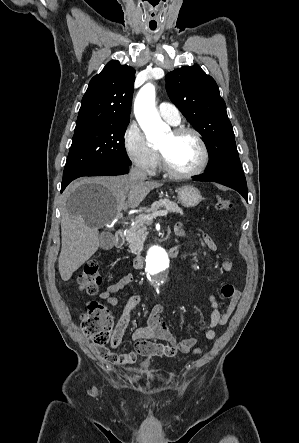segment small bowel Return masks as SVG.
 I'll use <instances>...</instances> for the list:
<instances>
[{
  "label": "small bowel",
  "mask_w": 299,
  "mask_h": 443,
  "mask_svg": "<svg viewBox=\"0 0 299 443\" xmlns=\"http://www.w3.org/2000/svg\"><path fill=\"white\" fill-rule=\"evenodd\" d=\"M175 232L177 235L183 236L185 234V224L183 222L177 223L175 226ZM203 241L209 250L214 251L217 249L215 240L209 234H203ZM221 267L225 271L232 270V260L230 258H224L221 262ZM133 279L134 277L132 274L122 276L116 282L108 285L99 294V298L111 306H117L119 300L115 294L129 285ZM221 295L227 300V305L223 312L219 311L216 298L214 296L210 297V303L213 309L210 312L207 324L204 327L205 336L208 339H213L215 337V327L223 326L228 322L240 299V292L232 284H224L221 288ZM140 301L141 297L138 294L129 297L121 316L117 321L111 341V349L117 348L121 343L125 330L130 323L131 312ZM132 338L136 344L135 350L121 354H116L113 351L108 350L109 355L105 357V359L117 365H128L133 363L138 355L162 354L172 357L177 353H189L196 345V339L193 337H188L182 340H177L174 337L163 317V306L161 304H156L151 308L147 326L137 328L133 332ZM156 340L166 341L167 344L157 343L155 342Z\"/></svg>",
  "instance_id": "obj_1"
}]
</instances>
